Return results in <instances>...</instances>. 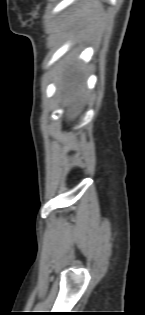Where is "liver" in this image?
Instances as JSON below:
<instances>
[{"label": "liver", "mask_w": 145, "mask_h": 315, "mask_svg": "<svg viewBox=\"0 0 145 315\" xmlns=\"http://www.w3.org/2000/svg\"><path fill=\"white\" fill-rule=\"evenodd\" d=\"M83 67L71 59L63 68L59 78V87L63 93L67 122L74 121L84 109L85 96Z\"/></svg>", "instance_id": "6515ba94"}]
</instances>
